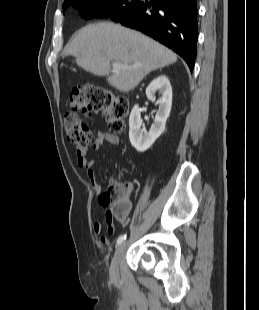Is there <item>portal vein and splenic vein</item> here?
<instances>
[{"mask_svg": "<svg viewBox=\"0 0 259 310\" xmlns=\"http://www.w3.org/2000/svg\"><path fill=\"white\" fill-rule=\"evenodd\" d=\"M112 67H113L114 70H120V69H127V68H129L127 65H123L120 62H114L112 64Z\"/></svg>", "mask_w": 259, "mask_h": 310, "instance_id": "obj_1", "label": "portal vein and splenic vein"}]
</instances>
